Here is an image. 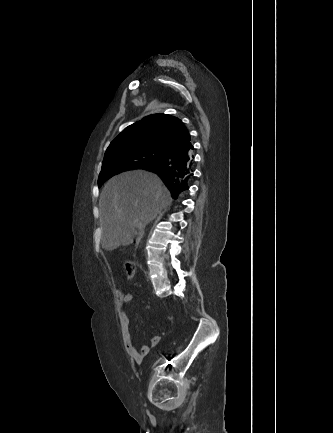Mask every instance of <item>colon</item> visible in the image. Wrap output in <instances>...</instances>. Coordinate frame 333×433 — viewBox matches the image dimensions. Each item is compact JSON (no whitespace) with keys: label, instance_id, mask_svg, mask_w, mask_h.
Instances as JSON below:
<instances>
[{"label":"colon","instance_id":"colon-1","mask_svg":"<svg viewBox=\"0 0 333 433\" xmlns=\"http://www.w3.org/2000/svg\"><path fill=\"white\" fill-rule=\"evenodd\" d=\"M126 275L129 279L133 278L136 272L135 263L132 261H126L124 264Z\"/></svg>","mask_w":333,"mask_h":433}]
</instances>
